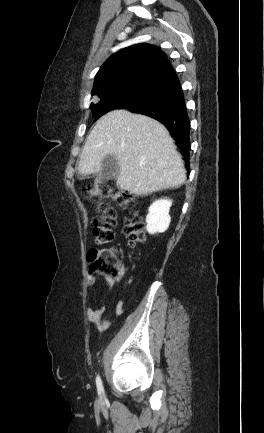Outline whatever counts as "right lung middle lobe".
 Here are the masks:
<instances>
[{"mask_svg":"<svg viewBox=\"0 0 264 433\" xmlns=\"http://www.w3.org/2000/svg\"><path fill=\"white\" fill-rule=\"evenodd\" d=\"M142 84L131 86L120 91L100 97V101L91 104L93 115L99 119L103 114L114 110L121 109L128 105L129 102L137 95Z\"/></svg>","mask_w":264,"mask_h":433,"instance_id":"obj_1","label":"right lung middle lobe"}]
</instances>
